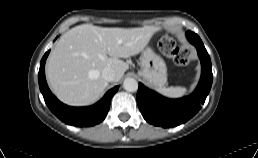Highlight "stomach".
I'll list each match as a JSON object with an SVG mask.
<instances>
[{
  "instance_id": "obj_1",
  "label": "stomach",
  "mask_w": 258,
  "mask_h": 158,
  "mask_svg": "<svg viewBox=\"0 0 258 158\" xmlns=\"http://www.w3.org/2000/svg\"><path fill=\"white\" fill-rule=\"evenodd\" d=\"M138 74L145 81L156 87H162L167 82L166 64L150 47H146L142 51Z\"/></svg>"
}]
</instances>
